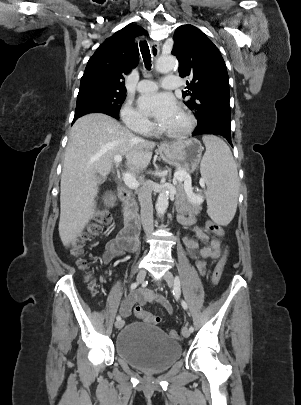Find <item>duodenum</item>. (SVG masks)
Wrapping results in <instances>:
<instances>
[{"label":"duodenum","instance_id":"410a0bca","mask_svg":"<svg viewBox=\"0 0 301 405\" xmlns=\"http://www.w3.org/2000/svg\"><path fill=\"white\" fill-rule=\"evenodd\" d=\"M105 200L102 206L108 208H119L120 199L125 207L124 228L120 232L121 244L127 251H136L138 249L137 233L139 222L136 216V201L133 193L127 187L119 188V195L115 190L106 192Z\"/></svg>","mask_w":301,"mask_h":405}]
</instances>
